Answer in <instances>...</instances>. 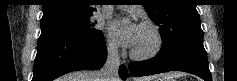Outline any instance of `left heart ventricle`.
Listing matches in <instances>:
<instances>
[{"label": "left heart ventricle", "mask_w": 237, "mask_h": 81, "mask_svg": "<svg viewBox=\"0 0 237 81\" xmlns=\"http://www.w3.org/2000/svg\"><path fill=\"white\" fill-rule=\"evenodd\" d=\"M154 45V36L152 32L145 27L140 26L139 34L134 47L136 53H145Z\"/></svg>", "instance_id": "left-heart-ventricle-1"}]
</instances>
